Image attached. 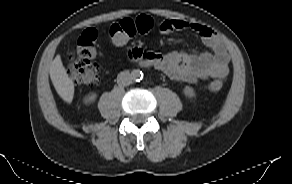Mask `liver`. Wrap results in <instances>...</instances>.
I'll return each instance as SVG.
<instances>
[{"label": "liver", "instance_id": "6515ba94", "mask_svg": "<svg viewBox=\"0 0 292 184\" xmlns=\"http://www.w3.org/2000/svg\"><path fill=\"white\" fill-rule=\"evenodd\" d=\"M50 78L58 95L67 103H71L74 96V83L69 78L60 55H57L50 67Z\"/></svg>", "mask_w": 292, "mask_h": 184}]
</instances>
